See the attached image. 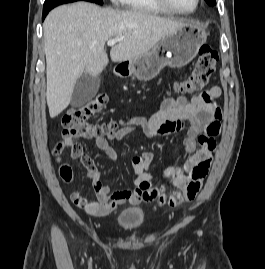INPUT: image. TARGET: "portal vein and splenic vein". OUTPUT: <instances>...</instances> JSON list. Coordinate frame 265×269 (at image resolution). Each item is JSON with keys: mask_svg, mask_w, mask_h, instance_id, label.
<instances>
[{"mask_svg": "<svg viewBox=\"0 0 265 269\" xmlns=\"http://www.w3.org/2000/svg\"><path fill=\"white\" fill-rule=\"evenodd\" d=\"M123 40V37H117V38H114V39H110L107 41V45L108 46H113L115 45L116 43L120 42Z\"/></svg>", "mask_w": 265, "mask_h": 269, "instance_id": "1", "label": "portal vein and splenic vein"}]
</instances>
